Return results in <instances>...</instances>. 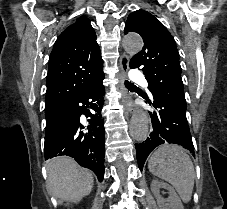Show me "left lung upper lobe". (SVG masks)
Returning a JSON list of instances; mask_svg holds the SVG:
<instances>
[{
  "mask_svg": "<svg viewBox=\"0 0 227 209\" xmlns=\"http://www.w3.org/2000/svg\"><path fill=\"white\" fill-rule=\"evenodd\" d=\"M129 32L138 33L144 41L143 49L130 60V68L141 67L153 99H167L186 109L179 53L172 35L145 10L129 14L124 33Z\"/></svg>",
  "mask_w": 227,
  "mask_h": 209,
  "instance_id": "left-lung-upper-lobe-1",
  "label": "left lung upper lobe"
}]
</instances>
